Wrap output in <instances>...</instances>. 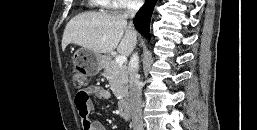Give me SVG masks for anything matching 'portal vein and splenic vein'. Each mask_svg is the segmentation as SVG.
<instances>
[{
	"label": "portal vein and splenic vein",
	"mask_w": 257,
	"mask_h": 130,
	"mask_svg": "<svg viewBox=\"0 0 257 130\" xmlns=\"http://www.w3.org/2000/svg\"><path fill=\"white\" fill-rule=\"evenodd\" d=\"M126 61H127L126 56L120 55V56H117V57L115 58V62H116L117 64H119V65H123Z\"/></svg>",
	"instance_id": "portal-vein-and-splenic-vein-1"
}]
</instances>
